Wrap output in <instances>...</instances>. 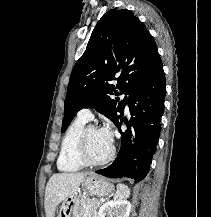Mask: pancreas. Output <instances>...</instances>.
<instances>
[{"label":"pancreas","instance_id":"cf45deb5","mask_svg":"<svg viewBox=\"0 0 211 217\" xmlns=\"http://www.w3.org/2000/svg\"><path fill=\"white\" fill-rule=\"evenodd\" d=\"M101 205V202L94 198H82L81 199V208H80V217H92L98 207Z\"/></svg>","mask_w":211,"mask_h":217}]
</instances>
